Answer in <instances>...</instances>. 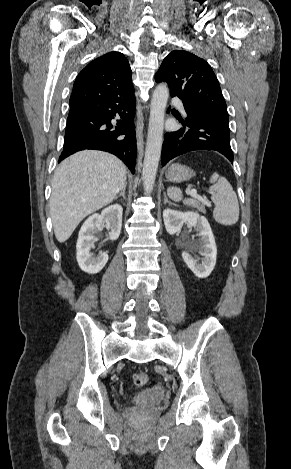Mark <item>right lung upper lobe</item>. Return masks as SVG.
Segmentation results:
<instances>
[{
  "instance_id": "cb5924a9",
  "label": "right lung upper lobe",
  "mask_w": 291,
  "mask_h": 469,
  "mask_svg": "<svg viewBox=\"0 0 291 469\" xmlns=\"http://www.w3.org/2000/svg\"><path fill=\"white\" fill-rule=\"evenodd\" d=\"M132 71L120 52H109L89 63L76 78L70 97V107L82 102L116 94L133 96Z\"/></svg>"
}]
</instances>
